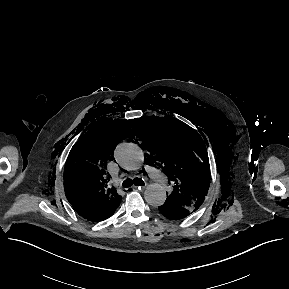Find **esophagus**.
<instances>
[{
	"label": "esophagus",
	"instance_id": "esophagus-1",
	"mask_svg": "<svg viewBox=\"0 0 289 289\" xmlns=\"http://www.w3.org/2000/svg\"><path fill=\"white\" fill-rule=\"evenodd\" d=\"M133 188H138L139 190H144L146 188V185H142V186H134Z\"/></svg>",
	"mask_w": 289,
	"mask_h": 289
}]
</instances>
